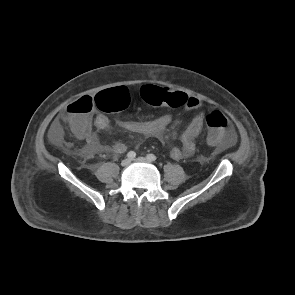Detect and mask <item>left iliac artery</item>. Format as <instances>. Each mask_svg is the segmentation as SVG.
Masks as SVG:
<instances>
[{"instance_id":"left-iliac-artery-1","label":"left iliac artery","mask_w":295,"mask_h":295,"mask_svg":"<svg viewBox=\"0 0 295 295\" xmlns=\"http://www.w3.org/2000/svg\"><path fill=\"white\" fill-rule=\"evenodd\" d=\"M146 157L149 161H155L157 159V157L154 154H148Z\"/></svg>"}]
</instances>
